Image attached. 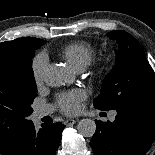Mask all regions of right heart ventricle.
Segmentation results:
<instances>
[{
  "mask_svg": "<svg viewBox=\"0 0 155 155\" xmlns=\"http://www.w3.org/2000/svg\"><path fill=\"white\" fill-rule=\"evenodd\" d=\"M66 61L77 71L84 70L95 56L94 48L85 42H74L62 51Z\"/></svg>",
  "mask_w": 155,
  "mask_h": 155,
  "instance_id": "1",
  "label": "right heart ventricle"
}]
</instances>
